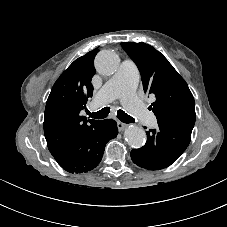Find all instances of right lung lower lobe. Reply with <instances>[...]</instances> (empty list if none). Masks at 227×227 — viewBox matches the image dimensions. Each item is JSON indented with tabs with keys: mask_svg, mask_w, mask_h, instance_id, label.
<instances>
[{
	"mask_svg": "<svg viewBox=\"0 0 227 227\" xmlns=\"http://www.w3.org/2000/svg\"><path fill=\"white\" fill-rule=\"evenodd\" d=\"M113 119L100 121L75 142L52 154L58 164L70 173L88 172L101 161L107 141L117 136Z\"/></svg>",
	"mask_w": 227,
	"mask_h": 227,
	"instance_id": "right-lung-lower-lobe-1",
	"label": "right lung lower lobe"
}]
</instances>
